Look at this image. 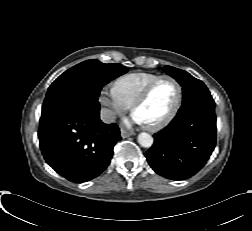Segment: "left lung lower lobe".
<instances>
[{"instance_id": "0a47b994", "label": "left lung lower lobe", "mask_w": 252, "mask_h": 231, "mask_svg": "<svg viewBox=\"0 0 252 231\" xmlns=\"http://www.w3.org/2000/svg\"><path fill=\"white\" fill-rule=\"evenodd\" d=\"M215 143V102L212 98L194 99L183 103L171 123L154 134V144L145 156L159 175L182 180L205 165Z\"/></svg>"}]
</instances>
